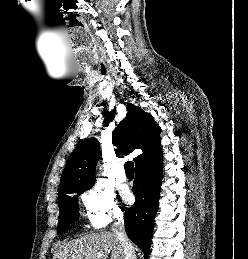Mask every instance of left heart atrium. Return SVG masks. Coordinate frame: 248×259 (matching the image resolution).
<instances>
[{
	"mask_svg": "<svg viewBox=\"0 0 248 259\" xmlns=\"http://www.w3.org/2000/svg\"><path fill=\"white\" fill-rule=\"evenodd\" d=\"M122 196L126 202H131L133 199L132 194L127 189L123 190Z\"/></svg>",
	"mask_w": 248,
	"mask_h": 259,
	"instance_id": "obj_1",
	"label": "left heart atrium"
}]
</instances>
